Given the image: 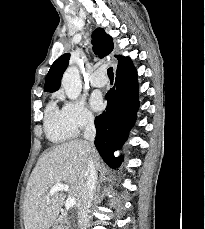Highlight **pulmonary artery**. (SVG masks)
Returning <instances> with one entry per match:
<instances>
[{"label":"pulmonary artery","instance_id":"pulmonary-artery-1","mask_svg":"<svg viewBox=\"0 0 205 229\" xmlns=\"http://www.w3.org/2000/svg\"><path fill=\"white\" fill-rule=\"evenodd\" d=\"M107 83V79L99 72H95L90 77V84L93 87H102Z\"/></svg>","mask_w":205,"mask_h":229}]
</instances>
